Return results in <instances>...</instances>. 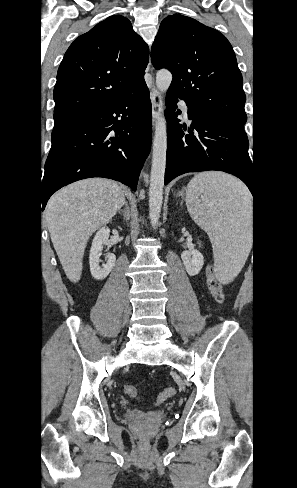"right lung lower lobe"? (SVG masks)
Segmentation results:
<instances>
[{
    "mask_svg": "<svg viewBox=\"0 0 297 488\" xmlns=\"http://www.w3.org/2000/svg\"><path fill=\"white\" fill-rule=\"evenodd\" d=\"M42 180V210L72 182L105 177L136 190L151 146V102L145 81L78 121L52 132Z\"/></svg>",
    "mask_w": 297,
    "mask_h": 488,
    "instance_id": "1",
    "label": "right lung lower lobe"
}]
</instances>
